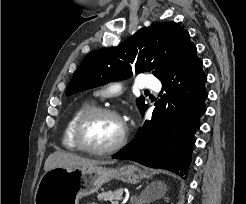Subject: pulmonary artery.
<instances>
[{"label":"pulmonary artery","instance_id":"1","mask_svg":"<svg viewBox=\"0 0 246 204\" xmlns=\"http://www.w3.org/2000/svg\"><path fill=\"white\" fill-rule=\"evenodd\" d=\"M138 87L140 89H148V90H153L157 91L160 89V82L152 75H141L138 79ZM122 90V83L120 82H112L102 88L99 91V94L107 97V96H112V95H117L121 92Z\"/></svg>","mask_w":246,"mask_h":204}]
</instances>
